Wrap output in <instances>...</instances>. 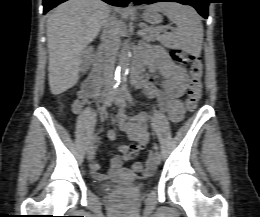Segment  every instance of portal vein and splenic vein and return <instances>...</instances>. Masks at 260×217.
I'll return each mask as SVG.
<instances>
[{
  "label": "portal vein and splenic vein",
  "instance_id": "1",
  "mask_svg": "<svg viewBox=\"0 0 260 217\" xmlns=\"http://www.w3.org/2000/svg\"><path fill=\"white\" fill-rule=\"evenodd\" d=\"M150 30L149 29H144L142 32H141V35H145L147 32H149ZM157 31H161V30H157Z\"/></svg>",
  "mask_w": 260,
  "mask_h": 217
}]
</instances>
